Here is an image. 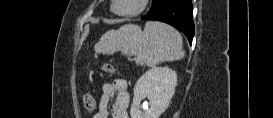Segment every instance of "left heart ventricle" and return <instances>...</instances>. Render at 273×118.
Listing matches in <instances>:
<instances>
[{
  "mask_svg": "<svg viewBox=\"0 0 273 118\" xmlns=\"http://www.w3.org/2000/svg\"><path fill=\"white\" fill-rule=\"evenodd\" d=\"M139 4L140 0H118L116 8L122 12L132 11L137 9Z\"/></svg>",
  "mask_w": 273,
  "mask_h": 118,
  "instance_id": "1",
  "label": "left heart ventricle"
}]
</instances>
